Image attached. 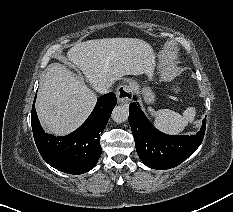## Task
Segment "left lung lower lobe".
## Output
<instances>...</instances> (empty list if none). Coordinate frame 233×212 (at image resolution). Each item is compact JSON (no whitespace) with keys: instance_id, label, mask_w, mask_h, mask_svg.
<instances>
[{"instance_id":"0a47b994","label":"left lung lower lobe","mask_w":233,"mask_h":212,"mask_svg":"<svg viewBox=\"0 0 233 212\" xmlns=\"http://www.w3.org/2000/svg\"><path fill=\"white\" fill-rule=\"evenodd\" d=\"M136 100V97H133ZM129 124L134 135L136 150L142 162L153 169L164 170L176 167L200 146L206 128V119L196 135H166L157 130L139 107L131 103Z\"/></svg>"}]
</instances>
